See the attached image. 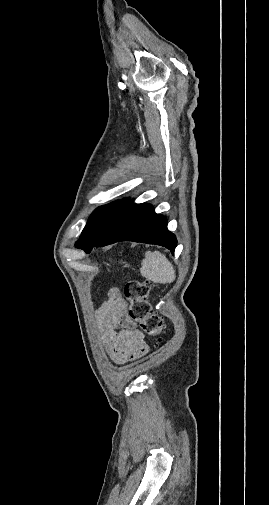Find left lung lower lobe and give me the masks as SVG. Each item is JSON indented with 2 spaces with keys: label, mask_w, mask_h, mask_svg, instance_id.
<instances>
[{
  "label": "left lung lower lobe",
  "mask_w": 269,
  "mask_h": 505,
  "mask_svg": "<svg viewBox=\"0 0 269 505\" xmlns=\"http://www.w3.org/2000/svg\"><path fill=\"white\" fill-rule=\"evenodd\" d=\"M119 241L157 244L174 253L177 240L167 229V220L156 214L149 204L130 202L121 211L111 228L100 241L82 249L89 253L94 246H105Z\"/></svg>",
  "instance_id": "1"
}]
</instances>
